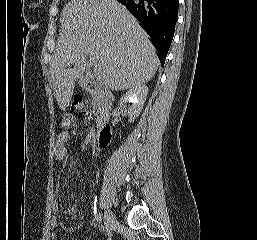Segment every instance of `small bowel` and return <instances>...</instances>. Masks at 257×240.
<instances>
[{
	"mask_svg": "<svg viewBox=\"0 0 257 240\" xmlns=\"http://www.w3.org/2000/svg\"><path fill=\"white\" fill-rule=\"evenodd\" d=\"M69 138H70V131H69L68 125H66L65 128L58 134L54 145L55 155L57 160L60 163L65 162L66 155H67L66 143L69 140ZM56 206H57V203L55 201L54 211H56ZM57 223H58L57 217L56 215H54L51 220L52 228H55L57 226ZM52 239L58 240L55 233H52Z\"/></svg>",
	"mask_w": 257,
	"mask_h": 240,
	"instance_id": "1",
	"label": "small bowel"
}]
</instances>
